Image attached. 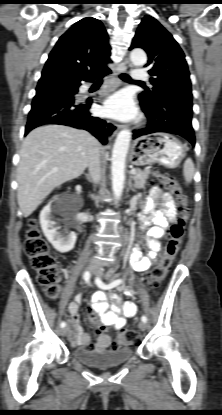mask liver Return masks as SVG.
Instances as JSON below:
<instances>
[{
	"label": "liver",
	"instance_id": "1",
	"mask_svg": "<svg viewBox=\"0 0 222 415\" xmlns=\"http://www.w3.org/2000/svg\"><path fill=\"white\" fill-rule=\"evenodd\" d=\"M98 146L87 131L64 125L32 130L21 147L17 168V200L23 216H30L56 187L83 174Z\"/></svg>",
	"mask_w": 222,
	"mask_h": 415
}]
</instances>
